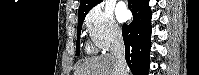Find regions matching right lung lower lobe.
<instances>
[{"label":"right lung lower lobe","mask_w":199,"mask_h":75,"mask_svg":"<svg viewBox=\"0 0 199 75\" xmlns=\"http://www.w3.org/2000/svg\"><path fill=\"white\" fill-rule=\"evenodd\" d=\"M128 8L133 21L122 28L125 58L134 75H148L152 30L149 0H129Z\"/></svg>","instance_id":"1"}]
</instances>
